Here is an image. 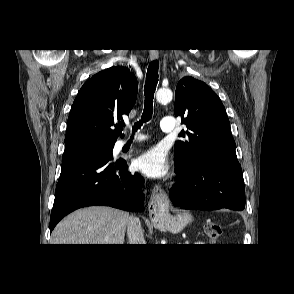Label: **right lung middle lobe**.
<instances>
[{
  "label": "right lung middle lobe",
  "instance_id": "obj_1",
  "mask_svg": "<svg viewBox=\"0 0 294 294\" xmlns=\"http://www.w3.org/2000/svg\"><path fill=\"white\" fill-rule=\"evenodd\" d=\"M114 143L98 140H78L67 143L62 159L87 153H102L112 158Z\"/></svg>",
  "mask_w": 294,
  "mask_h": 294
}]
</instances>
